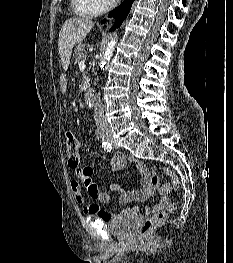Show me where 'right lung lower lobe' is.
<instances>
[{
	"label": "right lung lower lobe",
	"instance_id": "right-lung-lower-lobe-1",
	"mask_svg": "<svg viewBox=\"0 0 233 263\" xmlns=\"http://www.w3.org/2000/svg\"><path fill=\"white\" fill-rule=\"evenodd\" d=\"M133 2H134V0H124V2H122L119 7L115 8L109 14V17H115V19H116V23L110 29L111 31H114L115 28L120 27L122 22L125 20V18L129 14ZM102 22L105 23V20H103Z\"/></svg>",
	"mask_w": 233,
	"mask_h": 263
}]
</instances>
